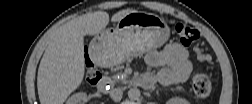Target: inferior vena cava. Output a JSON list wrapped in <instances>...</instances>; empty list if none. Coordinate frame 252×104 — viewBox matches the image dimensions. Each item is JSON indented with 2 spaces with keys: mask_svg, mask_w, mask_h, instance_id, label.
Here are the masks:
<instances>
[{
  "mask_svg": "<svg viewBox=\"0 0 252 104\" xmlns=\"http://www.w3.org/2000/svg\"><path fill=\"white\" fill-rule=\"evenodd\" d=\"M123 92L119 88H115L111 91L110 96L115 102H119L122 99Z\"/></svg>",
  "mask_w": 252,
  "mask_h": 104,
  "instance_id": "1",
  "label": "inferior vena cava"
}]
</instances>
